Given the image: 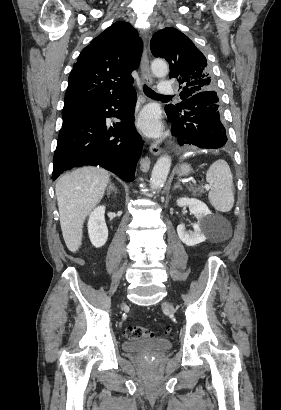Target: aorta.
I'll return each mask as SVG.
<instances>
[{"label":"aorta","instance_id":"1","mask_svg":"<svg viewBox=\"0 0 281 410\" xmlns=\"http://www.w3.org/2000/svg\"><path fill=\"white\" fill-rule=\"evenodd\" d=\"M151 70L157 77H165L168 74V65L163 60H154L151 64ZM171 167V158L168 155L161 156L154 168L151 175V188L152 190L160 189L164 186Z\"/></svg>","mask_w":281,"mask_h":410}]
</instances>
